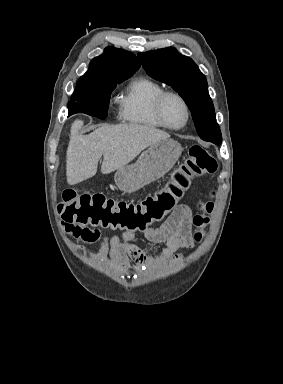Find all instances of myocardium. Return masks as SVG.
<instances>
[{
	"label": "myocardium",
	"instance_id": "obj_1",
	"mask_svg": "<svg viewBox=\"0 0 283 384\" xmlns=\"http://www.w3.org/2000/svg\"><path fill=\"white\" fill-rule=\"evenodd\" d=\"M170 96L176 97L182 103L184 110H185V114H186L185 121H184L183 125H181L179 127H172V126L168 125L165 122L164 117H163V105H164L165 100ZM152 115H153V118L155 119V121L158 123V125L161 126L162 128H164L166 130H170V131H179V130L185 128L187 126V124L189 123L191 112H190V108H189L187 101L185 100V98L181 94H179L175 91H164L155 99V101L152 105Z\"/></svg>",
	"mask_w": 283,
	"mask_h": 384
}]
</instances>
